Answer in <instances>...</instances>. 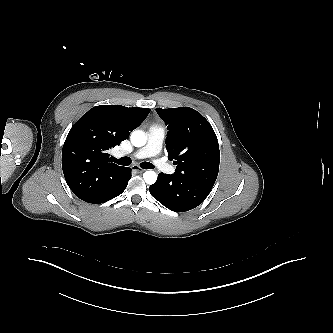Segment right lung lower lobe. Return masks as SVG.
<instances>
[{"mask_svg":"<svg viewBox=\"0 0 333 333\" xmlns=\"http://www.w3.org/2000/svg\"><path fill=\"white\" fill-rule=\"evenodd\" d=\"M131 169L125 167L120 180L113 183L108 189L98 193L89 203L100 204L119 196L125 190L129 179L131 178Z\"/></svg>","mask_w":333,"mask_h":333,"instance_id":"98d812e1","label":"right lung lower lobe"}]
</instances>
